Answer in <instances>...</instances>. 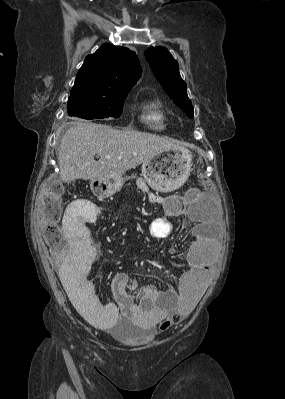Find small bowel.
I'll return each mask as SVG.
<instances>
[{
  "label": "small bowel",
  "instance_id": "c3829d8e",
  "mask_svg": "<svg viewBox=\"0 0 285 399\" xmlns=\"http://www.w3.org/2000/svg\"><path fill=\"white\" fill-rule=\"evenodd\" d=\"M148 199L161 205L164 211V215L149 224V233L155 238H167L172 234L170 218L193 216V206L184 204L177 196L162 201L159 196L149 194ZM130 209L128 207L126 213ZM78 210L84 219L76 217ZM97 218L96 209L82 199L72 201L63 218L67 246L73 251L67 258L55 262L59 279L74 308L95 327L106 331L122 322H131L150 331L165 330L175 324V319L187 318L194 311L209 278L202 232L199 231L188 245L186 269L179 276L175 289L160 290L152 284L140 285L126 275L113 280V301L103 304L88 278L94 260L88 226Z\"/></svg>",
  "mask_w": 285,
  "mask_h": 399
}]
</instances>
